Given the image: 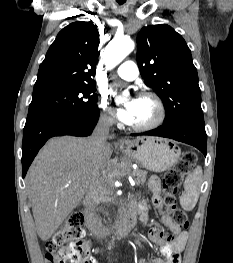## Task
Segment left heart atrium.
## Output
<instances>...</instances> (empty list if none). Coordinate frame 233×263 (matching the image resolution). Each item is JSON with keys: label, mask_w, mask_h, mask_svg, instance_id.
Here are the masks:
<instances>
[{"label": "left heart atrium", "mask_w": 233, "mask_h": 263, "mask_svg": "<svg viewBox=\"0 0 233 263\" xmlns=\"http://www.w3.org/2000/svg\"><path fill=\"white\" fill-rule=\"evenodd\" d=\"M137 101V98H132L117 109V117L123 123L127 125H133L137 113Z\"/></svg>", "instance_id": "left-heart-atrium-1"}]
</instances>
